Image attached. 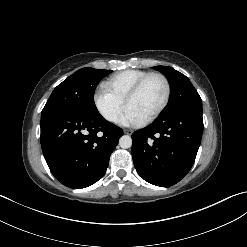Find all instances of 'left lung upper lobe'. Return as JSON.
I'll return each mask as SVG.
<instances>
[{
    "instance_id": "obj_1",
    "label": "left lung upper lobe",
    "mask_w": 247,
    "mask_h": 247,
    "mask_svg": "<svg viewBox=\"0 0 247 247\" xmlns=\"http://www.w3.org/2000/svg\"><path fill=\"white\" fill-rule=\"evenodd\" d=\"M154 69L162 72L171 87V97L164 113L189 106H202V100L190 80L172 67L156 66Z\"/></svg>"
}]
</instances>
